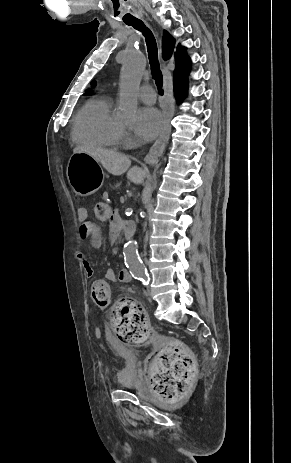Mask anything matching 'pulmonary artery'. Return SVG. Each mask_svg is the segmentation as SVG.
<instances>
[{"mask_svg": "<svg viewBox=\"0 0 291 463\" xmlns=\"http://www.w3.org/2000/svg\"><path fill=\"white\" fill-rule=\"evenodd\" d=\"M140 99L146 104H153L156 101L155 90L150 85H142L138 91Z\"/></svg>", "mask_w": 291, "mask_h": 463, "instance_id": "obj_1", "label": "pulmonary artery"}]
</instances>
